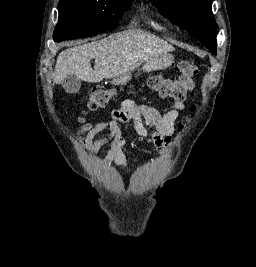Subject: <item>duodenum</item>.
<instances>
[{
  "label": "duodenum",
  "instance_id": "410a0bca",
  "mask_svg": "<svg viewBox=\"0 0 256 267\" xmlns=\"http://www.w3.org/2000/svg\"><path fill=\"white\" fill-rule=\"evenodd\" d=\"M154 71V66H143V72ZM131 79V74H120V77L114 79V84L118 83L119 86H125L126 82H129Z\"/></svg>",
  "mask_w": 256,
  "mask_h": 267
}]
</instances>
